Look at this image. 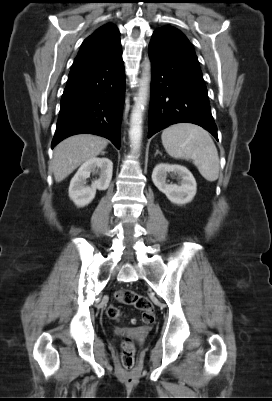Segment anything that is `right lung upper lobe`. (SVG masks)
<instances>
[{"label": "right lung upper lobe", "instance_id": "cb5924a9", "mask_svg": "<svg viewBox=\"0 0 272 401\" xmlns=\"http://www.w3.org/2000/svg\"><path fill=\"white\" fill-rule=\"evenodd\" d=\"M120 48L118 28L110 23L103 25L83 41L69 76L97 64Z\"/></svg>", "mask_w": 272, "mask_h": 401}]
</instances>
